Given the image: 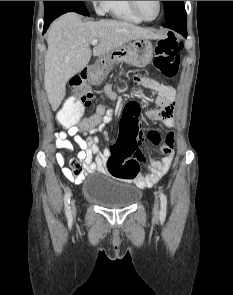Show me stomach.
<instances>
[{
  "mask_svg": "<svg viewBox=\"0 0 233 295\" xmlns=\"http://www.w3.org/2000/svg\"><path fill=\"white\" fill-rule=\"evenodd\" d=\"M154 54V47L150 39L137 38L127 45H124L108 56L101 59L96 70L89 74L88 80L92 83H100L111 70L113 64L127 63L135 67H145L148 65ZM104 62V63H103Z\"/></svg>",
  "mask_w": 233,
  "mask_h": 295,
  "instance_id": "obj_1",
  "label": "stomach"
}]
</instances>
